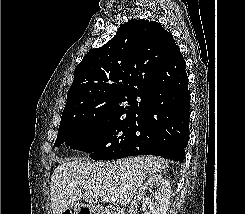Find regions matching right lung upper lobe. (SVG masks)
<instances>
[{
    "instance_id": "obj_1",
    "label": "right lung upper lobe",
    "mask_w": 245,
    "mask_h": 214,
    "mask_svg": "<svg viewBox=\"0 0 245 214\" xmlns=\"http://www.w3.org/2000/svg\"><path fill=\"white\" fill-rule=\"evenodd\" d=\"M186 78L173 36L158 22L132 19L76 66L62 115L124 113L136 109L153 89ZM126 101L129 106H122Z\"/></svg>"
}]
</instances>
